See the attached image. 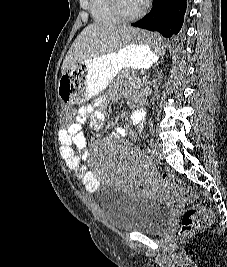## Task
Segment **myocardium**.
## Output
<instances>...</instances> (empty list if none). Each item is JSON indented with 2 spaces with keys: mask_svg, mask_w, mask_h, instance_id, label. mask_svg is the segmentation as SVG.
Instances as JSON below:
<instances>
[{
  "mask_svg": "<svg viewBox=\"0 0 227 267\" xmlns=\"http://www.w3.org/2000/svg\"><path fill=\"white\" fill-rule=\"evenodd\" d=\"M111 8L114 12V14L122 21L130 22L135 21L141 18L145 11H146V5H143L136 13L134 14H128L126 13L121 5V0H110Z\"/></svg>",
  "mask_w": 227,
  "mask_h": 267,
  "instance_id": "obj_1",
  "label": "myocardium"
}]
</instances>
